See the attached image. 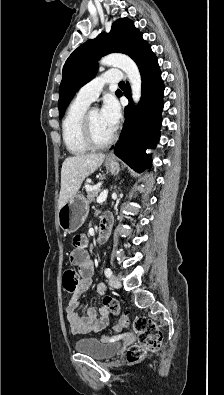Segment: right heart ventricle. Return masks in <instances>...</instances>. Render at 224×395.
I'll list each match as a JSON object with an SVG mask.
<instances>
[{
	"mask_svg": "<svg viewBox=\"0 0 224 395\" xmlns=\"http://www.w3.org/2000/svg\"><path fill=\"white\" fill-rule=\"evenodd\" d=\"M89 103L76 98L68 107L62 123L63 141L67 150L73 155H82L89 150L85 143L81 124Z\"/></svg>",
	"mask_w": 224,
	"mask_h": 395,
	"instance_id": "1",
	"label": "right heart ventricle"
}]
</instances>
